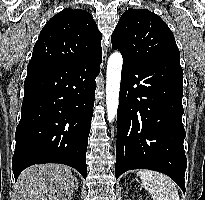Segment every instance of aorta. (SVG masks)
Instances as JSON below:
<instances>
[{
    "instance_id": "aorta-1",
    "label": "aorta",
    "mask_w": 205,
    "mask_h": 200,
    "mask_svg": "<svg viewBox=\"0 0 205 200\" xmlns=\"http://www.w3.org/2000/svg\"><path fill=\"white\" fill-rule=\"evenodd\" d=\"M123 58L119 52L110 55L106 73L107 119L112 122L117 114Z\"/></svg>"
}]
</instances>
